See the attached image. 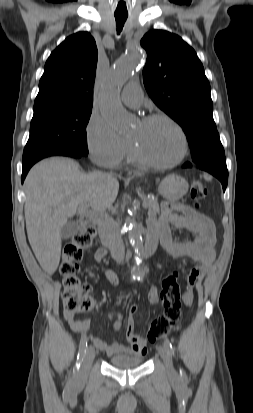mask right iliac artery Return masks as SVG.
Instances as JSON below:
<instances>
[{
	"instance_id": "obj_1",
	"label": "right iliac artery",
	"mask_w": 253,
	"mask_h": 413,
	"mask_svg": "<svg viewBox=\"0 0 253 413\" xmlns=\"http://www.w3.org/2000/svg\"><path fill=\"white\" fill-rule=\"evenodd\" d=\"M87 348V337L83 336L80 341L79 351L77 355V360L75 366L73 367V376L78 375L81 363L83 362Z\"/></svg>"
}]
</instances>
